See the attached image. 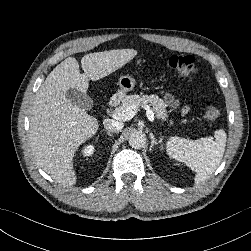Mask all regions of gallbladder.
I'll return each instance as SVG.
<instances>
[{
    "instance_id": "1",
    "label": "gallbladder",
    "mask_w": 251,
    "mask_h": 251,
    "mask_svg": "<svg viewBox=\"0 0 251 251\" xmlns=\"http://www.w3.org/2000/svg\"><path fill=\"white\" fill-rule=\"evenodd\" d=\"M65 96L73 104L84 110H90L93 107V100L87 94H84L77 89H69Z\"/></svg>"
}]
</instances>
